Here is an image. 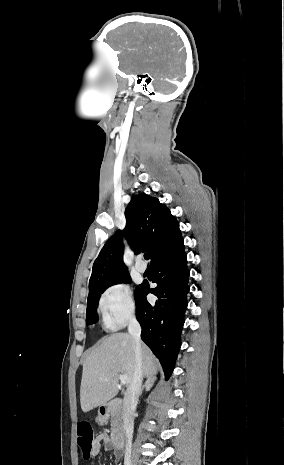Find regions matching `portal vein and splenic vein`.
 <instances>
[{
  "label": "portal vein and splenic vein",
  "instance_id": "portal-vein-and-splenic-vein-1",
  "mask_svg": "<svg viewBox=\"0 0 284 465\" xmlns=\"http://www.w3.org/2000/svg\"><path fill=\"white\" fill-rule=\"evenodd\" d=\"M119 379L121 381V385H127V377H126V375H119Z\"/></svg>",
  "mask_w": 284,
  "mask_h": 465
}]
</instances>
